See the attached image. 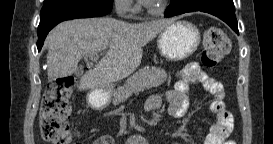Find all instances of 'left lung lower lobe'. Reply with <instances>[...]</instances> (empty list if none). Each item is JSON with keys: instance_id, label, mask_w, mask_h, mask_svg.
I'll return each instance as SVG.
<instances>
[{"instance_id": "0a47b994", "label": "left lung lower lobe", "mask_w": 273, "mask_h": 144, "mask_svg": "<svg viewBox=\"0 0 273 144\" xmlns=\"http://www.w3.org/2000/svg\"><path fill=\"white\" fill-rule=\"evenodd\" d=\"M194 11L219 17L239 34L233 0H172L164 15L172 17Z\"/></svg>"}]
</instances>
